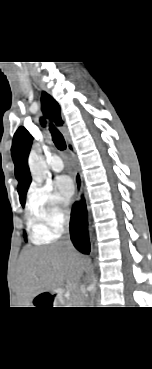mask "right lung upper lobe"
Here are the masks:
<instances>
[{"mask_svg": "<svg viewBox=\"0 0 152 369\" xmlns=\"http://www.w3.org/2000/svg\"><path fill=\"white\" fill-rule=\"evenodd\" d=\"M42 110L44 115L53 119L57 125H62L60 107L58 103L47 93L42 94ZM44 124V119H41ZM32 144V136L24 127H19L13 137L12 158L15 164V176L18 180L17 191L20 202H25L26 193L31 183V175L28 167V155Z\"/></svg>", "mask_w": 152, "mask_h": 369, "instance_id": "1", "label": "right lung upper lobe"}]
</instances>
